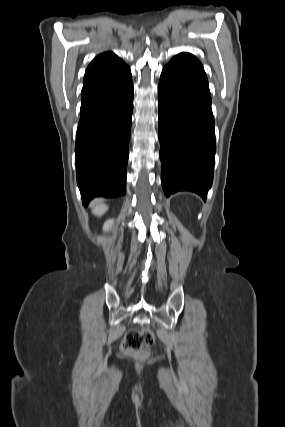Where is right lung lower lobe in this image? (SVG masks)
Returning <instances> with one entry per match:
<instances>
[{
  "mask_svg": "<svg viewBox=\"0 0 285 427\" xmlns=\"http://www.w3.org/2000/svg\"><path fill=\"white\" fill-rule=\"evenodd\" d=\"M132 112L133 83L128 66L83 86L75 164L85 206L94 197L113 198L126 193Z\"/></svg>",
  "mask_w": 285,
  "mask_h": 427,
  "instance_id": "obj_1",
  "label": "right lung lower lobe"
}]
</instances>
